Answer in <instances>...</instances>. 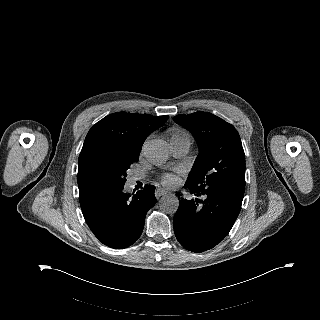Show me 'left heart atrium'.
<instances>
[{
  "mask_svg": "<svg viewBox=\"0 0 320 320\" xmlns=\"http://www.w3.org/2000/svg\"><path fill=\"white\" fill-rule=\"evenodd\" d=\"M162 183L167 187H175L179 183V177L175 174H166L162 177Z\"/></svg>",
  "mask_w": 320,
  "mask_h": 320,
  "instance_id": "left-heart-atrium-1",
  "label": "left heart atrium"
}]
</instances>
